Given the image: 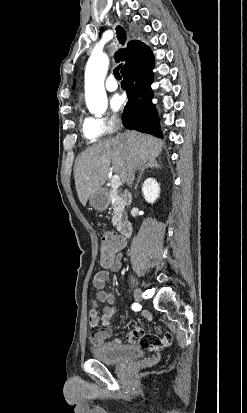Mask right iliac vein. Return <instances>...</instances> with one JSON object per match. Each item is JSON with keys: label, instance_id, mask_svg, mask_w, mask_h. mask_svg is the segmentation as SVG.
<instances>
[{"label": "right iliac vein", "instance_id": "1", "mask_svg": "<svg viewBox=\"0 0 247 413\" xmlns=\"http://www.w3.org/2000/svg\"><path fill=\"white\" fill-rule=\"evenodd\" d=\"M134 289H133V296H134V299L137 301V302H140V301H142V294H141V290L138 288V286L135 284L134 285Z\"/></svg>", "mask_w": 247, "mask_h": 413}]
</instances>
